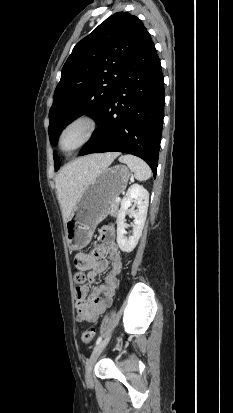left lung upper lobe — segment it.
Segmentation results:
<instances>
[{
    "label": "left lung upper lobe",
    "instance_id": "obj_1",
    "mask_svg": "<svg viewBox=\"0 0 233 413\" xmlns=\"http://www.w3.org/2000/svg\"><path fill=\"white\" fill-rule=\"evenodd\" d=\"M146 33L136 16L117 12L75 45L62 68L49 111L48 133L52 145L76 116L84 112L96 118L101 116ZM54 166L56 171L60 167L56 155Z\"/></svg>",
    "mask_w": 233,
    "mask_h": 413
}]
</instances>
